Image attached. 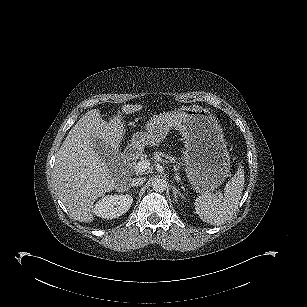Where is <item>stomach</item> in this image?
Wrapping results in <instances>:
<instances>
[{
	"label": "stomach",
	"mask_w": 307,
	"mask_h": 307,
	"mask_svg": "<svg viewBox=\"0 0 307 307\" xmlns=\"http://www.w3.org/2000/svg\"><path fill=\"white\" fill-rule=\"evenodd\" d=\"M180 131L185 144L182 162L193 188L199 191L217 189L230 168L222 129L207 109L183 106L154 115L146 124V132L132 144H159L170 129Z\"/></svg>",
	"instance_id": "1"
}]
</instances>
